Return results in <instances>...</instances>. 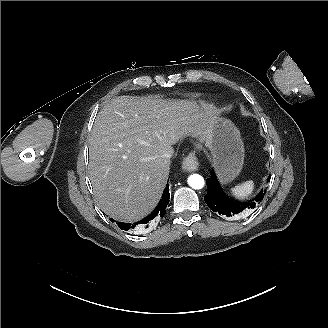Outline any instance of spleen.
Instances as JSON below:
<instances>
[{"label":"spleen","mask_w":328,"mask_h":328,"mask_svg":"<svg viewBox=\"0 0 328 328\" xmlns=\"http://www.w3.org/2000/svg\"><path fill=\"white\" fill-rule=\"evenodd\" d=\"M253 189L254 182L250 180L231 188V192L237 199L244 200L252 194Z\"/></svg>","instance_id":"obj_1"}]
</instances>
